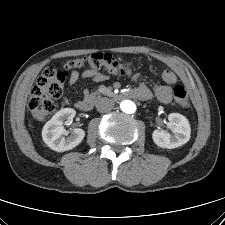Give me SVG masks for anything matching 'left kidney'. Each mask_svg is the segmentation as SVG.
Returning <instances> with one entry per match:
<instances>
[{"instance_id":"5707ae66","label":"left kidney","mask_w":225,"mask_h":225,"mask_svg":"<svg viewBox=\"0 0 225 225\" xmlns=\"http://www.w3.org/2000/svg\"><path fill=\"white\" fill-rule=\"evenodd\" d=\"M172 128L173 135L164 130L156 129L152 134L154 143L167 149H173L186 144L190 140L191 128L186 117L179 113H171L168 117Z\"/></svg>"}]
</instances>
